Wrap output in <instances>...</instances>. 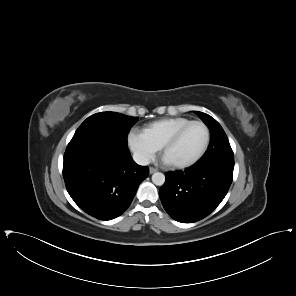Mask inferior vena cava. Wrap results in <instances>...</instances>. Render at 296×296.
Returning <instances> with one entry per match:
<instances>
[{
	"instance_id": "inferior-vena-cava-1",
	"label": "inferior vena cava",
	"mask_w": 296,
	"mask_h": 296,
	"mask_svg": "<svg viewBox=\"0 0 296 296\" xmlns=\"http://www.w3.org/2000/svg\"><path fill=\"white\" fill-rule=\"evenodd\" d=\"M133 159L138 165L142 166L148 165L151 161L148 155H146L144 152L139 151L133 154Z\"/></svg>"
}]
</instances>
